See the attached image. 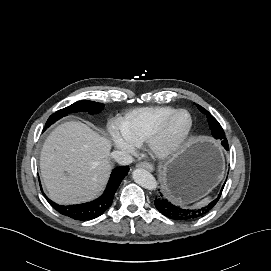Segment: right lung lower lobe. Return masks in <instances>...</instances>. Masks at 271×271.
<instances>
[{
	"instance_id": "98d812e1",
	"label": "right lung lower lobe",
	"mask_w": 271,
	"mask_h": 271,
	"mask_svg": "<svg viewBox=\"0 0 271 271\" xmlns=\"http://www.w3.org/2000/svg\"><path fill=\"white\" fill-rule=\"evenodd\" d=\"M128 171V166L115 168L112 171L104 194L92 202L63 206L56 204L47 198L44 193L43 194L52 207L62 215L68 216L75 220H91L102 215L111 206L114 194L123 178L127 175Z\"/></svg>"
}]
</instances>
